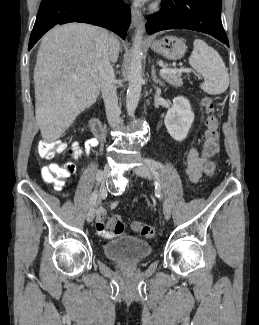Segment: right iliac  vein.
<instances>
[{
    "instance_id": "63e3f726",
    "label": "right iliac vein",
    "mask_w": 259,
    "mask_h": 325,
    "mask_svg": "<svg viewBox=\"0 0 259 325\" xmlns=\"http://www.w3.org/2000/svg\"><path fill=\"white\" fill-rule=\"evenodd\" d=\"M111 171V167L109 164H106L103 168L102 174H101V179H100V184H101V188L104 187L105 181L108 178L109 174ZM96 202L91 205L88 213H87V221L90 223L93 221L94 217H95V211H96Z\"/></svg>"
}]
</instances>
